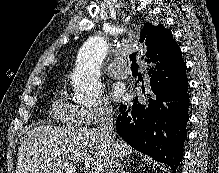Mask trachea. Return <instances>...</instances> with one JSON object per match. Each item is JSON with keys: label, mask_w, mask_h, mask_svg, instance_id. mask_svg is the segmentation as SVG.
<instances>
[{"label": "trachea", "mask_w": 219, "mask_h": 173, "mask_svg": "<svg viewBox=\"0 0 219 173\" xmlns=\"http://www.w3.org/2000/svg\"><path fill=\"white\" fill-rule=\"evenodd\" d=\"M136 54L137 53H132L130 55V60L132 62V65H131L132 68H137L138 67L137 64H136Z\"/></svg>", "instance_id": "1"}]
</instances>
